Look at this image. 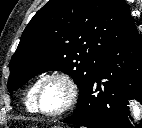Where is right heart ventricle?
I'll return each instance as SVG.
<instances>
[{"label":"right heart ventricle","mask_w":142,"mask_h":128,"mask_svg":"<svg viewBox=\"0 0 142 128\" xmlns=\"http://www.w3.org/2000/svg\"><path fill=\"white\" fill-rule=\"evenodd\" d=\"M38 80H39V78L37 80H35L29 86V88L26 92V95H25L24 103H25L27 110L30 111V112H36L35 104H34V94H35V90H36V87H37Z\"/></svg>","instance_id":"1"}]
</instances>
